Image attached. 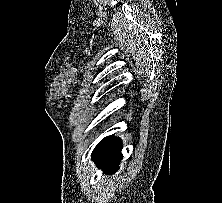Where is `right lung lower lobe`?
I'll list each match as a JSON object with an SVG mask.
<instances>
[{
    "label": "right lung lower lobe",
    "instance_id": "98d812e1",
    "mask_svg": "<svg viewBox=\"0 0 222 203\" xmlns=\"http://www.w3.org/2000/svg\"><path fill=\"white\" fill-rule=\"evenodd\" d=\"M121 140L117 137H105L95 147L92 153V159L99 168L108 172L114 173L119 168V163L122 159Z\"/></svg>",
    "mask_w": 222,
    "mask_h": 203
}]
</instances>
